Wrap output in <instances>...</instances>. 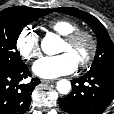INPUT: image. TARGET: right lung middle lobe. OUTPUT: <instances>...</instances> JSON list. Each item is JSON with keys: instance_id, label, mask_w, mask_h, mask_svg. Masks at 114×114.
<instances>
[{"instance_id": "obj_1", "label": "right lung middle lobe", "mask_w": 114, "mask_h": 114, "mask_svg": "<svg viewBox=\"0 0 114 114\" xmlns=\"http://www.w3.org/2000/svg\"><path fill=\"white\" fill-rule=\"evenodd\" d=\"M51 12V9L36 8L14 15L0 13V72L13 71L25 65L17 51V39L27 24Z\"/></svg>"}]
</instances>
